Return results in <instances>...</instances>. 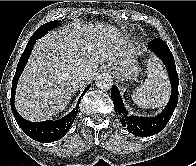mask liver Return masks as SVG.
I'll return each instance as SVG.
<instances>
[{"mask_svg":"<svg viewBox=\"0 0 196 166\" xmlns=\"http://www.w3.org/2000/svg\"><path fill=\"white\" fill-rule=\"evenodd\" d=\"M120 32L109 24H74L39 39L16 89L15 107L29 121H42L65 109L82 82L77 69L94 78L99 63L134 56Z\"/></svg>","mask_w":196,"mask_h":166,"instance_id":"obj_1","label":"liver"}]
</instances>
